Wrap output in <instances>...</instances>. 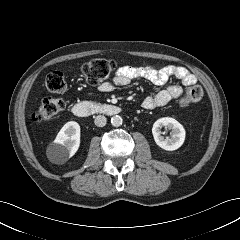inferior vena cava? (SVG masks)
<instances>
[{
	"label": "inferior vena cava",
	"instance_id": "obj_1",
	"mask_svg": "<svg viewBox=\"0 0 240 240\" xmlns=\"http://www.w3.org/2000/svg\"><path fill=\"white\" fill-rule=\"evenodd\" d=\"M106 117L104 115H98L95 117L94 123L98 127H103L106 125Z\"/></svg>",
	"mask_w": 240,
	"mask_h": 240
}]
</instances>
